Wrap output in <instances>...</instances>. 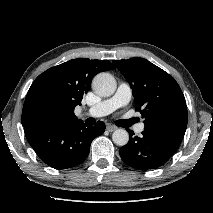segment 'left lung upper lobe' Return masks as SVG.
<instances>
[{
  "instance_id": "1",
  "label": "left lung upper lobe",
  "mask_w": 213,
  "mask_h": 213,
  "mask_svg": "<svg viewBox=\"0 0 213 213\" xmlns=\"http://www.w3.org/2000/svg\"><path fill=\"white\" fill-rule=\"evenodd\" d=\"M133 90L144 131L181 143L188 121L182 90L167 72L144 58L114 60Z\"/></svg>"
}]
</instances>
